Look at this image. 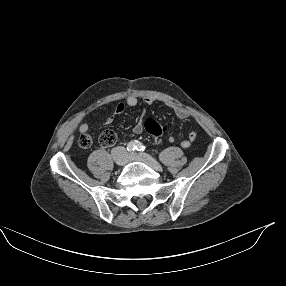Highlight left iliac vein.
I'll list each match as a JSON object with an SVG mask.
<instances>
[{"label":"left iliac vein","mask_w":286,"mask_h":286,"mask_svg":"<svg viewBox=\"0 0 286 286\" xmlns=\"http://www.w3.org/2000/svg\"><path fill=\"white\" fill-rule=\"evenodd\" d=\"M130 160L143 162L156 171H162V168L159 163L155 161L152 157H150L148 154H133L130 156Z\"/></svg>","instance_id":"left-iliac-vein-1"}]
</instances>
